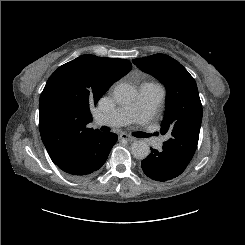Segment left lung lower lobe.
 <instances>
[{"label":"left lung lower lobe","mask_w":245,"mask_h":245,"mask_svg":"<svg viewBox=\"0 0 245 245\" xmlns=\"http://www.w3.org/2000/svg\"><path fill=\"white\" fill-rule=\"evenodd\" d=\"M151 149V153L142 162L143 172L156 181L171 180L184 172L191 159L179 151L163 145V150Z\"/></svg>","instance_id":"left-lung-lower-lobe-1"}]
</instances>
